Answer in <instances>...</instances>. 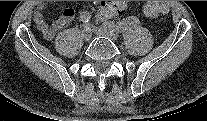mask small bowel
Here are the masks:
<instances>
[{"label":"small bowel","mask_w":207,"mask_h":121,"mask_svg":"<svg viewBox=\"0 0 207 121\" xmlns=\"http://www.w3.org/2000/svg\"><path fill=\"white\" fill-rule=\"evenodd\" d=\"M100 5L110 6L113 8V14L109 18H111L115 14H120L126 6L125 2L112 1H103ZM45 9V2L38 3L34 12V21L37 29L40 31L42 36L46 40H52L58 31L64 29L69 25L75 15V10L73 8H67L60 17L55 19L52 24H49L44 17Z\"/></svg>","instance_id":"1"}]
</instances>
